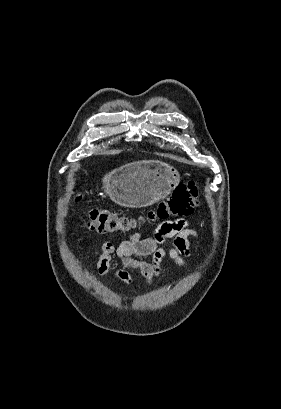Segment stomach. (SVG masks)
I'll use <instances>...</instances> for the list:
<instances>
[{
    "mask_svg": "<svg viewBox=\"0 0 281 409\" xmlns=\"http://www.w3.org/2000/svg\"><path fill=\"white\" fill-rule=\"evenodd\" d=\"M181 176L168 162L162 160H136L114 168L103 176L104 192L120 207L141 209L155 205L172 190Z\"/></svg>",
    "mask_w": 281,
    "mask_h": 409,
    "instance_id": "obj_1",
    "label": "stomach"
}]
</instances>
